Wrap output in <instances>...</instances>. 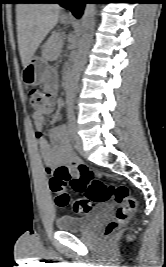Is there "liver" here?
<instances>
[{"label": "liver", "instance_id": "6515ba94", "mask_svg": "<svg viewBox=\"0 0 166 267\" xmlns=\"http://www.w3.org/2000/svg\"><path fill=\"white\" fill-rule=\"evenodd\" d=\"M59 12L60 6L56 4L19 3L16 6L18 47L23 67L57 25Z\"/></svg>", "mask_w": 166, "mask_h": 267}]
</instances>
